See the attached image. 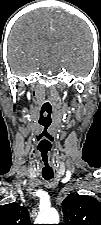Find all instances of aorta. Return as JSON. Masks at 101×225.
<instances>
[{
    "instance_id": "obj_1",
    "label": "aorta",
    "mask_w": 101,
    "mask_h": 225,
    "mask_svg": "<svg viewBox=\"0 0 101 225\" xmlns=\"http://www.w3.org/2000/svg\"><path fill=\"white\" fill-rule=\"evenodd\" d=\"M58 223H59V214L53 208L41 211L36 219V224H58Z\"/></svg>"
}]
</instances>
